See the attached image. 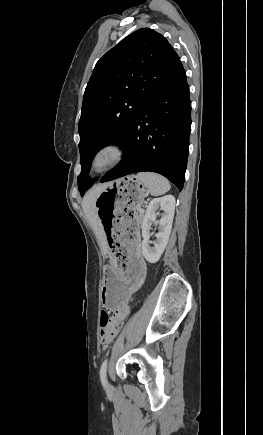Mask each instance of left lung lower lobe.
I'll return each mask as SVG.
<instances>
[{
  "mask_svg": "<svg viewBox=\"0 0 263 435\" xmlns=\"http://www.w3.org/2000/svg\"><path fill=\"white\" fill-rule=\"evenodd\" d=\"M189 94L180 63L136 117L123 144L125 156L121 163L100 182L151 171L165 176L182 190L191 129Z\"/></svg>",
  "mask_w": 263,
  "mask_h": 435,
  "instance_id": "1",
  "label": "left lung lower lobe"
}]
</instances>
